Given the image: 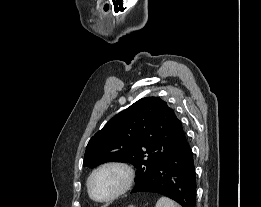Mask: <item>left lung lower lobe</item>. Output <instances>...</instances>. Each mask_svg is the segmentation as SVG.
<instances>
[{"mask_svg": "<svg viewBox=\"0 0 261 207\" xmlns=\"http://www.w3.org/2000/svg\"><path fill=\"white\" fill-rule=\"evenodd\" d=\"M144 192L167 196L182 207H195V166L185 134L177 149L131 191V193Z\"/></svg>", "mask_w": 261, "mask_h": 207, "instance_id": "0a47b994", "label": "left lung lower lobe"}]
</instances>
